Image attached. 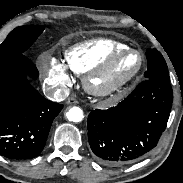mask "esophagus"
Instances as JSON below:
<instances>
[{
  "label": "esophagus",
  "instance_id": "34e87169",
  "mask_svg": "<svg viewBox=\"0 0 183 183\" xmlns=\"http://www.w3.org/2000/svg\"><path fill=\"white\" fill-rule=\"evenodd\" d=\"M67 104H72V105H75V104H78V100L75 99V98H69L67 101H66Z\"/></svg>",
  "mask_w": 183,
  "mask_h": 183
}]
</instances>
